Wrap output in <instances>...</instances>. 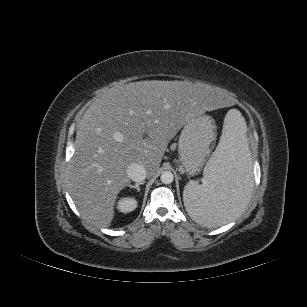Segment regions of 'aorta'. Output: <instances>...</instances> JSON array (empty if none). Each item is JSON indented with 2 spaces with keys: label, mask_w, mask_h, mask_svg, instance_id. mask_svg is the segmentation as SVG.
<instances>
[{
  "label": "aorta",
  "mask_w": 307,
  "mask_h": 307,
  "mask_svg": "<svg viewBox=\"0 0 307 307\" xmlns=\"http://www.w3.org/2000/svg\"><path fill=\"white\" fill-rule=\"evenodd\" d=\"M160 179H161V182L164 184H171L174 180V175L171 171H164L161 174Z\"/></svg>",
  "instance_id": "obj_1"
}]
</instances>
